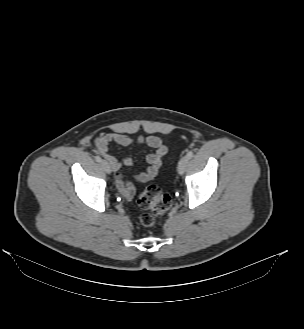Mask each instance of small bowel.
<instances>
[{
    "label": "small bowel",
    "instance_id": "c3829d8e",
    "mask_svg": "<svg viewBox=\"0 0 304 329\" xmlns=\"http://www.w3.org/2000/svg\"><path fill=\"white\" fill-rule=\"evenodd\" d=\"M110 143H116L120 146H129L134 143L140 145L146 144L155 150L146 157V161L149 164L147 170L134 175V179L138 182H147L156 176L162 164V159L167 154L168 149L161 138L154 135H140L136 138H132L124 133H106L100 134L94 139L96 151L108 162L114 171L115 184L118 190L125 198L129 199L134 194V186L130 181L125 179L122 169L131 167L133 165V160L128 156L118 160L109 151Z\"/></svg>",
    "mask_w": 304,
    "mask_h": 329
}]
</instances>
